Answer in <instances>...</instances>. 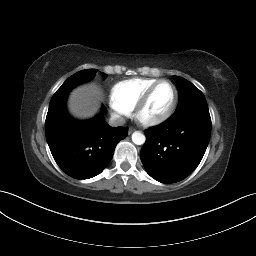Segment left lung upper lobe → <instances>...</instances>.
Returning a JSON list of instances; mask_svg holds the SVG:
<instances>
[{"instance_id":"left-lung-upper-lobe-1","label":"left lung upper lobe","mask_w":256,"mask_h":256,"mask_svg":"<svg viewBox=\"0 0 256 256\" xmlns=\"http://www.w3.org/2000/svg\"><path fill=\"white\" fill-rule=\"evenodd\" d=\"M174 79L179 90V102L174 114L191 108L208 110L206 99L198 88L184 78L174 76Z\"/></svg>"}]
</instances>
